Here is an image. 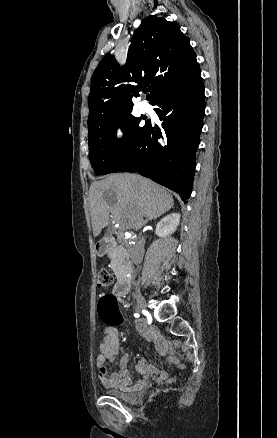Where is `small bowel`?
Segmentation results:
<instances>
[{
	"label": "small bowel",
	"mask_w": 277,
	"mask_h": 438,
	"mask_svg": "<svg viewBox=\"0 0 277 438\" xmlns=\"http://www.w3.org/2000/svg\"><path fill=\"white\" fill-rule=\"evenodd\" d=\"M137 335L140 338H148L149 341L156 344L158 352L157 355L160 358L167 356V349L170 347L168 342L163 341L162 337L159 336V332L154 325L150 326H138L136 328ZM104 340L100 345V353L97 356V366L101 367L97 369L96 374L100 377L102 385L106 388H117L121 391L128 392L132 390H141L145 387L148 382L150 373H155L159 379H169V374L165 371H157L150 365V362L140 361L137 364V369L142 373L140 381L132 385L131 379L129 377V371L126 367L128 361L127 354H121V342L119 331L115 327H107L104 329ZM118 358L119 368L116 371L112 369H105L104 361L106 359L113 360ZM173 363L178 364V370L181 372L184 370L185 366L179 363L177 359L168 360L166 365L171 367Z\"/></svg>",
	"instance_id": "c3829d8e"
}]
</instances>
